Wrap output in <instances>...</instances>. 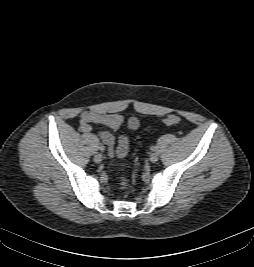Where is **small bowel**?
I'll return each mask as SVG.
<instances>
[{"mask_svg":"<svg viewBox=\"0 0 254 267\" xmlns=\"http://www.w3.org/2000/svg\"><path fill=\"white\" fill-rule=\"evenodd\" d=\"M125 119L122 115L112 113L104 114L92 111H85L80 115V130L84 133H89L92 130L91 124H101L111 129H119L124 124ZM140 122L136 117H130L126 121V129L135 131L139 128ZM101 141L107 146L108 153L111 157L123 158L129 151V137L126 134L120 135L118 144L115 146V137L108 131L99 133Z\"/></svg>","mask_w":254,"mask_h":267,"instance_id":"c3829d8e","label":"small bowel"}]
</instances>
